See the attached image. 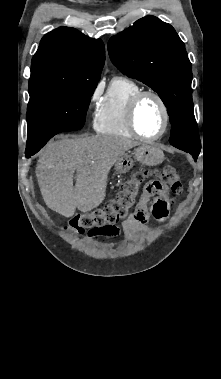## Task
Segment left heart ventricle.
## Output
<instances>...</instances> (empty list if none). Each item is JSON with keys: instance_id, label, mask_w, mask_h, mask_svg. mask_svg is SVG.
<instances>
[{"instance_id": "left-heart-ventricle-1", "label": "left heart ventricle", "mask_w": 221, "mask_h": 379, "mask_svg": "<svg viewBox=\"0 0 221 379\" xmlns=\"http://www.w3.org/2000/svg\"><path fill=\"white\" fill-rule=\"evenodd\" d=\"M164 117L157 100L151 96L145 97L136 112V124L141 134L152 137L163 127Z\"/></svg>"}]
</instances>
